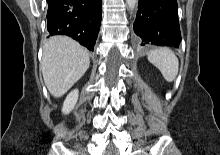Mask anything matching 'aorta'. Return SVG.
<instances>
[{
	"label": "aorta",
	"mask_w": 220,
	"mask_h": 155,
	"mask_svg": "<svg viewBox=\"0 0 220 155\" xmlns=\"http://www.w3.org/2000/svg\"><path fill=\"white\" fill-rule=\"evenodd\" d=\"M128 8L132 11L134 10L138 5V0H126Z\"/></svg>",
	"instance_id": "aorta-1"
}]
</instances>
